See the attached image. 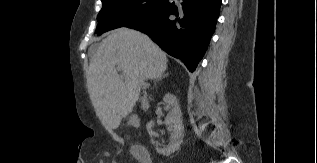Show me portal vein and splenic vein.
<instances>
[{
  "mask_svg": "<svg viewBox=\"0 0 317 163\" xmlns=\"http://www.w3.org/2000/svg\"><path fill=\"white\" fill-rule=\"evenodd\" d=\"M117 70H120V67H117Z\"/></svg>",
  "mask_w": 317,
  "mask_h": 163,
  "instance_id": "portal-vein-and-splenic-vein-1",
  "label": "portal vein and splenic vein"
}]
</instances>
